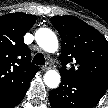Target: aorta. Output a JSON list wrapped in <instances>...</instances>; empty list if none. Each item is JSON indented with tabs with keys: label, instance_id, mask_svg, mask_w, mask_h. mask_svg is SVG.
I'll return each instance as SVG.
<instances>
[{
	"label": "aorta",
	"instance_id": "obj_1",
	"mask_svg": "<svg viewBox=\"0 0 108 108\" xmlns=\"http://www.w3.org/2000/svg\"><path fill=\"white\" fill-rule=\"evenodd\" d=\"M37 44L48 53H55L58 50V39L56 34L49 28H40L35 33ZM61 77L58 71L48 70L44 75V83L47 87L55 89L59 86Z\"/></svg>",
	"mask_w": 108,
	"mask_h": 108
}]
</instances>
